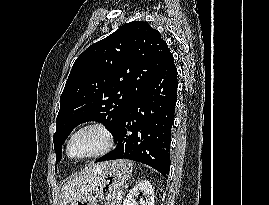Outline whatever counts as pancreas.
<instances>
[{"instance_id": "cf45deb5", "label": "pancreas", "mask_w": 269, "mask_h": 205, "mask_svg": "<svg viewBox=\"0 0 269 205\" xmlns=\"http://www.w3.org/2000/svg\"><path fill=\"white\" fill-rule=\"evenodd\" d=\"M119 203H120V197H117L116 201L113 202V203L110 204V205H119Z\"/></svg>"}]
</instances>
